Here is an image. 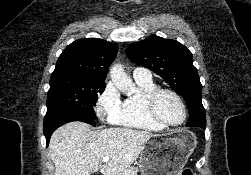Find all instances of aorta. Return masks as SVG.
<instances>
[{"mask_svg": "<svg viewBox=\"0 0 251 175\" xmlns=\"http://www.w3.org/2000/svg\"><path fill=\"white\" fill-rule=\"evenodd\" d=\"M110 78L114 86H116L119 91H122V93L129 95V93L135 91L133 80H131L130 76L126 74L124 68L119 66V64H116V66H113L112 70H110Z\"/></svg>", "mask_w": 251, "mask_h": 175, "instance_id": "762f6f07", "label": "aorta"}]
</instances>
